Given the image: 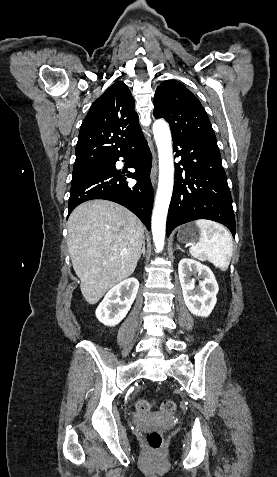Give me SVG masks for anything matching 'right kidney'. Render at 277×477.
Segmentation results:
<instances>
[{"instance_id": "right-kidney-1", "label": "right kidney", "mask_w": 277, "mask_h": 477, "mask_svg": "<svg viewBox=\"0 0 277 477\" xmlns=\"http://www.w3.org/2000/svg\"><path fill=\"white\" fill-rule=\"evenodd\" d=\"M138 288V280L132 277L110 289L96 309L97 319L106 326L119 324L129 312Z\"/></svg>"}]
</instances>
